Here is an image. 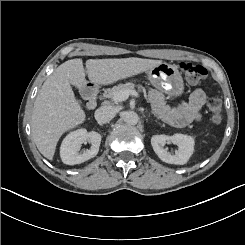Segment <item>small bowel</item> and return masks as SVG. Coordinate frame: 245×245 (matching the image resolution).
<instances>
[{
	"label": "small bowel",
	"mask_w": 245,
	"mask_h": 245,
	"mask_svg": "<svg viewBox=\"0 0 245 245\" xmlns=\"http://www.w3.org/2000/svg\"><path fill=\"white\" fill-rule=\"evenodd\" d=\"M149 99L155 111L164 121L176 127H183L201 120V110L206 102V94L203 89L196 88L186 102L175 107L169 106L163 94L157 90L149 92Z\"/></svg>",
	"instance_id": "c3829d8e"
}]
</instances>
